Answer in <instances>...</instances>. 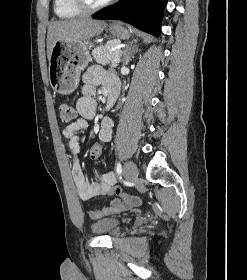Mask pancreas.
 Segmentation results:
<instances>
[{
    "label": "pancreas",
    "mask_w": 247,
    "mask_h": 280,
    "mask_svg": "<svg viewBox=\"0 0 247 280\" xmlns=\"http://www.w3.org/2000/svg\"><path fill=\"white\" fill-rule=\"evenodd\" d=\"M116 45H117V43L110 42L105 45H100V46L96 47L92 51V56H93L94 60L98 64H102V65H107L111 62V66L116 67L117 63H113L112 60L116 57L117 53H122V51L120 49H116L112 52L110 51Z\"/></svg>",
    "instance_id": "obj_1"
}]
</instances>
